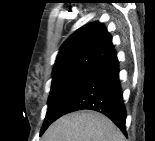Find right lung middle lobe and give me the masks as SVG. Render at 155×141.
<instances>
[{
  "label": "right lung middle lobe",
  "instance_id": "1",
  "mask_svg": "<svg viewBox=\"0 0 155 141\" xmlns=\"http://www.w3.org/2000/svg\"><path fill=\"white\" fill-rule=\"evenodd\" d=\"M94 71L90 69H74L53 76L48 109L40 135L53 121L60 117L62 107L89 79Z\"/></svg>",
  "mask_w": 155,
  "mask_h": 141
}]
</instances>
